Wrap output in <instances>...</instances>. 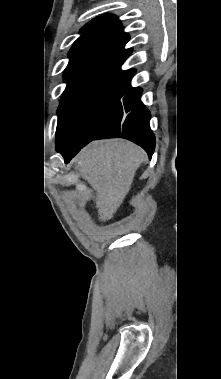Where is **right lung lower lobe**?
Returning a JSON list of instances; mask_svg holds the SVG:
<instances>
[{"label":"right lung lower lobe","instance_id":"right-lung-lower-lobe-1","mask_svg":"<svg viewBox=\"0 0 221 379\" xmlns=\"http://www.w3.org/2000/svg\"><path fill=\"white\" fill-rule=\"evenodd\" d=\"M133 75L122 82V97L115 111L92 139L71 143L56 140V150L63 155L65 163L90 141L105 138H126L141 146L151 158L155 149V137L149 126L151 115L140 100L142 89L130 85Z\"/></svg>","mask_w":221,"mask_h":379}]
</instances>
